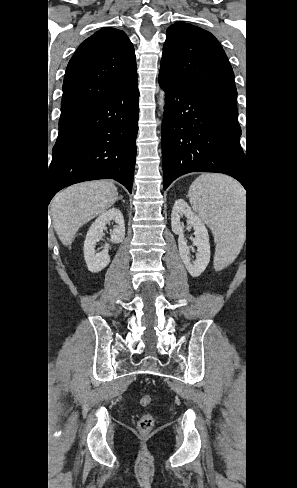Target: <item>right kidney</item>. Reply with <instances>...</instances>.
Masks as SVG:
<instances>
[{"label":"right kidney","mask_w":297,"mask_h":488,"mask_svg":"<svg viewBox=\"0 0 297 488\" xmlns=\"http://www.w3.org/2000/svg\"><path fill=\"white\" fill-rule=\"evenodd\" d=\"M111 220L117 223V226L111 231V242L121 243L125 238V224L122 212L118 208H111L103 212L89 228L84 242V258L91 272L101 271L110 262L108 254L109 244H106L104 250L99 253L95 251V245L101 240L105 226Z\"/></svg>","instance_id":"1"}]
</instances>
